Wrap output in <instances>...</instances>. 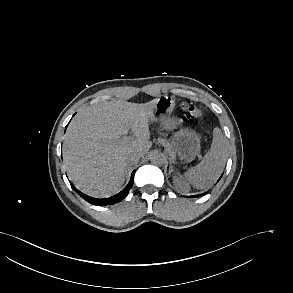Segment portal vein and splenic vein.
<instances>
[{
    "label": "portal vein and splenic vein",
    "mask_w": 293,
    "mask_h": 293,
    "mask_svg": "<svg viewBox=\"0 0 293 293\" xmlns=\"http://www.w3.org/2000/svg\"><path fill=\"white\" fill-rule=\"evenodd\" d=\"M126 140H129V139H131V136H125L124 137Z\"/></svg>",
    "instance_id": "1"
}]
</instances>
